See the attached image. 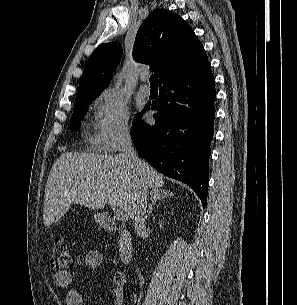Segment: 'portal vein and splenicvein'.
Wrapping results in <instances>:
<instances>
[{"instance_id":"obj_1","label":"portal vein and splenic vein","mask_w":297,"mask_h":305,"mask_svg":"<svg viewBox=\"0 0 297 305\" xmlns=\"http://www.w3.org/2000/svg\"><path fill=\"white\" fill-rule=\"evenodd\" d=\"M128 215L124 210H118L117 212V219L120 221H125L127 220Z\"/></svg>"}]
</instances>
